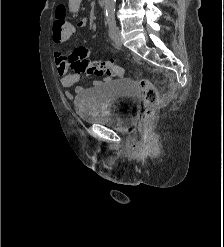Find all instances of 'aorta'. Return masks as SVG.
<instances>
[{"label": "aorta", "instance_id": "762f6f07", "mask_svg": "<svg viewBox=\"0 0 224 247\" xmlns=\"http://www.w3.org/2000/svg\"><path fill=\"white\" fill-rule=\"evenodd\" d=\"M116 0H105V16L107 20H115Z\"/></svg>", "mask_w": 224, "mask_h": 247}]
</instances>
